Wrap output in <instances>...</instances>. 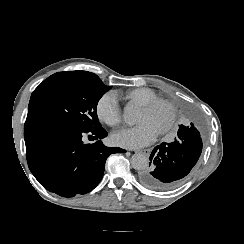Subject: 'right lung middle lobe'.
I'll return each mask as SVG.
<instances>
[{
    "instance_id": "1",
    "label": "right lung middle lobe",
    "mask_w": 244,
    "mask_h": 244,
    "mask_svg": "<svg viewBox=\"0 0 244 244\" xmlns=\"http://www.w3.org/2000/svg\"><path fill=\"white\" fill-rule=\"evenodd\" d=\"M110 88L91 72L55 73L33 91L27 119H48L74 129L92 131L101 127L96 108Z\"/></svg>"
}]
</instances>
